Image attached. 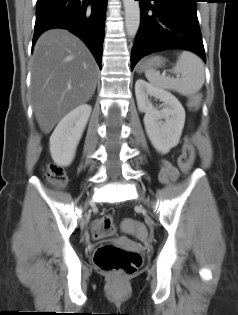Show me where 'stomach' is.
Listing matches in <instances>:
<instances>
[{
	"instance_id": "0dacf381",
	"label": "stomach",
	"mask_w": 238,
	"mask_h": 315,
	"mask_svg": "<svg viewBox=\"0 0 238 315\" xmlns=\"http://www.w3.org/2000/svg\"><path fill=\"white\" fill-rule=\"evenodd\" d=\"M164 65V60L159 56L149 57L145 59L138 68L139 72L146 71L149 69H156Z\"/></svg>"
}]
</instances>
